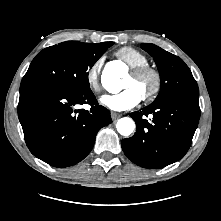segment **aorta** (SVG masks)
<instances>
[{
	"label": "aorta",
	"instance_id": "aorta-1",
	"mask_svg": "<svg viewBox=\"0 0 221 221\" xmlns=\"http://www.w3.org/2000/svg\"><path fill=\"white\" fill-rule=\"evenodd\" d=\"M123 75V70L107 65L102 75V84L109 92L117 93L122 88L121 77ZM116 128L121 135L129 136L135 129V122L129 117H123L117 121Z\"/></svg>",
	"mask_w": 221,
	"mask_h": 221
}]
</instances>
